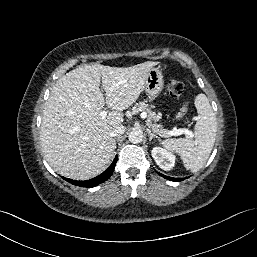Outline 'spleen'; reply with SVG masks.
I'll return each instance as SVG.
<instances>
[{
    "mask_svg": "<svg viewBox=\"0 0 257 257\" xmlns=\"http://www.w3.org/2000/svg\"><path fill=\"white\" fill-rule=\"evenodd\" d=\"M195 107L199 116L194 139L172 138L162 142L164 148L181 156L185 168L191 172H196L204 166L213 149L217 133V119L204 94L196 96Z\"/></svg>",
    "mask_w": 257,
    "mask_h": 257,
    "instance_id": "obj_1",
    "label": "spleen"
}]
</instances>
